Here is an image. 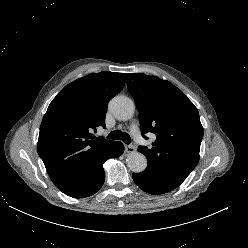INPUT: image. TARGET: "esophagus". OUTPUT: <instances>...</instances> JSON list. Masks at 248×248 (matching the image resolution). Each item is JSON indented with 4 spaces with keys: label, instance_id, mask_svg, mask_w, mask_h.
<instances>
[{
    "label": "esophagus",
    "instance_id": "obj_1",
    "mask_svg": "<svg viewBox=\"0 0 248 248\" xmlns=\"http://www.w3.org/2000/svg\"><path fill=\"white\" fill-rule=\"evenodd\" d=\"M135 150H136L135 146H133V145H126L125 146V152L127 154L133 153Z\"/></svg>",
    "mask_w": 248,
    "mask_h": 248
}]
</instances>
